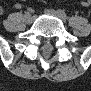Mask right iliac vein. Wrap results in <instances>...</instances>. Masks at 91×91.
I'll return each mask as SVG.
<instances>
[{"label":"right iliac vein","mask_w":91,"mask_h":91,"mask_svg":"<svg viewBox=\"0 0 91 91\" xmlns=\"http://www.w3.org/2000/svg\"><path fill=\"white\" fill-rule=\"evenodd\" d=\"M25 20H26L27 23L31 24V23L34 22L35 17L34 16H31L30 14H26L25 15Z\"/></svg>","instance_id":"63e3f726"}]
</instances>
